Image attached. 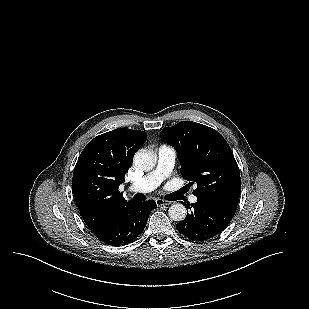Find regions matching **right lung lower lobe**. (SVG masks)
Masks as SVG:
<instances>
[{
  "label": "right lung lower lobe",
  "instance_id": "1",
  "mask_svg": "<svg viewBox=\"0 0 309 309\" xmlns=\"http://www.w3.org/2000/svg\"><path fill=\"white\" fill-rule=\"evenodd\" d=\"M156 207L153 200L140 203L129 202L112 212L97 229L91 232L108 245H126L142 233L150 212Z\"/></svg>",
  "mask_w": 309,
  "mask_h": 309
}]
</instances>
